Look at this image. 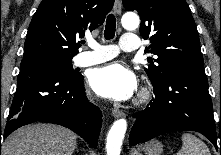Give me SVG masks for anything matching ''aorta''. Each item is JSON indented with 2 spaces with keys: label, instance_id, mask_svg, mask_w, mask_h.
Here are the masks:
<instances>
[{
  "label": "aorta",
  "instance_id": "aorta-1",
  "mask_svg": "<svg viewBox=\"0 0 221 155\" xmlns=\"http://www.w3.org/2000/svg\"><path fill=\"white\" fill-rule=\"evenodd\" d=\"M140 20L136 14H126L122 18V25L127 30H134L139 26ZM127 121L124 118L116 120L107 135V155H120L121 145L126 133Z\"/></svg>",
  "mask_w": 221,
  "mask_h": 155
}]
</instances>
